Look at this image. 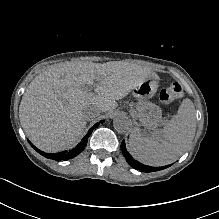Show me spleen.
Listing matches in <instances>:
<instances>
[{
    "mask_svg": "<svg viewBox=\"0 0 219 219\" xmlns=\"http://www.w3.org/2000/svg\"><path fill=\"white\" fill-rule=\"evenodd\" d=\"M195 132V108L193 102L187 99L159 135L143 137L140 130L134 128L129 137V151L135 160L144 165L164 166L174 162L188 149Z\"/></svg>",
    "mask_w": 219,
    "mask_h": 219,
    "instance_id": "spleen-1",
    "label": "spleen"
}]
</instances>
